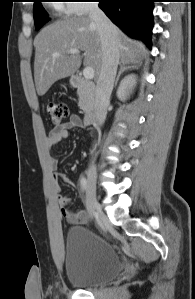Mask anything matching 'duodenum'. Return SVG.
<instances>
[{"label": "duodenum", "mask_w": 195, "mask_h": 299, "mask_svg": "<svg viewBox=\"0 0 195 299\" xmlns=\"http://www.w3.org/2000/svg\"><path fill=\"white\" fill-rule=\"evenodd\" d=\"M71 83L74 88H77L89 98V105L83 115L82 122L85 125L94 124L101 113V103L97 98L98 89L96 84L77 75L72 77Z\"/></svg>", "instance_id": "410a0bca"}]
</instances>
